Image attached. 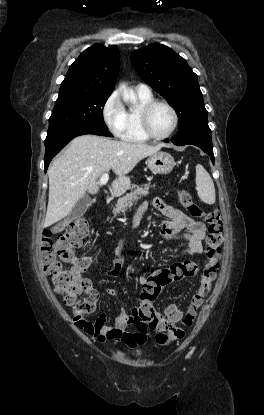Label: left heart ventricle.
Wrapping results in <instances>:
<instances>
[{
	"instance_id": "b2bd125f",
	"label": "left heart ventricle",
	"mask_w": 264,
	"mask_h": 415,
	"mask_svg": "<svg viewBox=\"0 0 264 415\" xmlns=\"http://www.w3.org/2000/svg\"><path fill=\"white\" fill-rule=\"evenodd\" d=\"M149 122L153 133L163 135L172 127L173 115L167 107L158 105L151 111Z\"/></svg>"
}]
</instances>
